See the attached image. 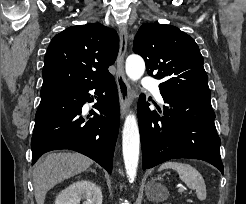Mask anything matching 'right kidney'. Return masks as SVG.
<instances>
[{
    "label": "right kidney",
    "instance_id": "1",
    "mask_svg": "<svg viewBox=\"0 0 246 204\" xmlns=\"http://www.w3.org/2000/svg\"><path fill=\"white\" fill-rule=\"evenodd\" d=\"M102 204V192L99 186L88 180L72 183L56 198L55 204Z\"/></svg>",
    "mask_w": 246,
    "mask_h": 204
}]
</instances>
